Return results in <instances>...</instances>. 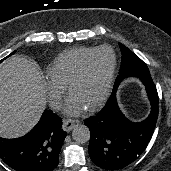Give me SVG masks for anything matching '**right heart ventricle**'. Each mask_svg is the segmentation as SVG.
Returning a JSON list of instances; mask_svg holds the SVG:
<instances>
[{
  "label": "right heart ventricle",
  "instance_id": "obj_1",
  "mask_svg": "<svg viewBox=\"0 0 171 171\" xmlns=\"http://www.w3.org/2000/svg\"><path fill=\"white\" fill-rule=\"evenodd\" d=\"M94 50L92 47H79L62 52L54 59L48 74L67 87L80 64Z\"/></svg>",
  "mask_w": 171,
  "mask_h": 171
}]
</instances>
